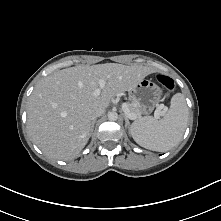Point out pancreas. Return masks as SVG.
<instances>
[{
	"instance_id": "obj_1",
	"label": "pancreas",
	"mask_w": 221,
	"mask_h": 221,
	"mask_svg": "<svg viewBox=\"0 0 221 221\" xmlns=\"http://www.w3.org/2000/svg\"><path fill=\"white\" fill-rule=\"evenodd\" d=\"M127 105H128V108H129L131 113H134L137 116H139L142 113L136 102L132 101L131 103H128Z\"/></svg>"
}]
</instances>
